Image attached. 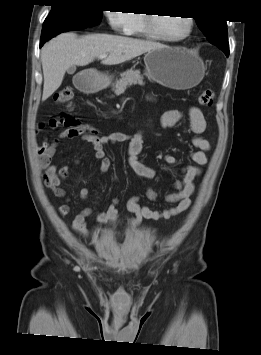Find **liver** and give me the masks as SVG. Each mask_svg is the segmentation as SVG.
Wrapping results in <instances>:
<instances>
[{"label": "liver", "instance_id": "liver-1", "mask_svg": "<svg viewBox=\"0 0 261 355\" xmlns=\"http://www.w3.org/2000/svg\"><path fill=\"white\" fill-rule=\"evenodd\" d=\"M161 47L164 46L157 42L120 35L91 34L79 38L72 32L62 33L41 50L42 101L60 87L65 72L72 66H86L102 54L108 55L102 64L116 65Z\"/></svg>", "mask_w": 261, "mask_h": 355}]
</instances>
